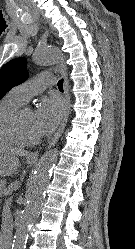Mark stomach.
I'll return each instance as SVG.
<instances>
[{
	"mask_svg": "<svg viewBox=\"0 0 135 249\" xmlns=\"http://www.w3.org/2000/svg\"><path fill=\"white\" fill-rule=\"evenodd\" d=\"M19 166L16 156L0 149V176L6 177L16 172Z\"/></svg>",
	"mask_w": 135,
	"mask_h": 249,
	"instance_id": "obj_1",
	"label": "stomach"
}]
</instances>
